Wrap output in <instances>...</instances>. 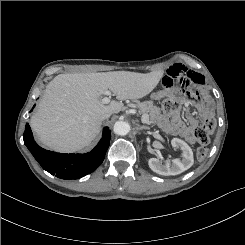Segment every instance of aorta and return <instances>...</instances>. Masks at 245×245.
Returning <instances> with one entry per match:
<instances>
[{"mask_svg":"<svg viewBox=\"0 0 245 245\" xmlns=\"http://www.w3.org/2000/svg\"><path fill=\"white\" fill-rule=\"evenodd\" d=\"M113 131L115 134L124 136L129 133L130 125L125 121H117L114 124Z\"/></svg>","mask_w":245,"mask_h":245,"instance_id":"762f6f07","label":"aorta"}]
</instances>
